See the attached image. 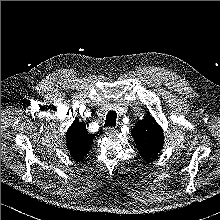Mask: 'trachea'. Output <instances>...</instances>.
<instances>
[{
	"instance_id": "3493384b",
	"label": "trachea",
	"mask_w": 220,
	"mask_h": 220,
	"mask_svg": "<svg viewBox=\"0 0 220 220\" xmlns=\"http://www.w3.org/2000/svg\"><path fill=\"white\" fill-rule=\"evenodd\" d=\"M117 113L115 111H110L106 115L105 126H115L116 125Z\"/></svg>"
}]
</instances>
